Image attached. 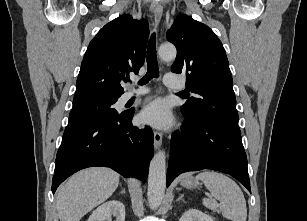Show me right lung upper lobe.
<instances>
[{
	"mask_svg": "<svg viewBox=\"0 0 307 221\" xmlns=\"http://www.w3.org/2000/svg\"><path fill=\"white\" fill-rule=\"evenodd\" d=\"M149 27L146 20L120 16L106 24L91 40L84 55L73 104L118 99L122 78L138 73L145 60Z\"/></svg>",
	"mask_w": 307,
	"mask_h": 221,
	"instance_id": "1",
	"label": "right lung upper lobe"
}]
</instances>
